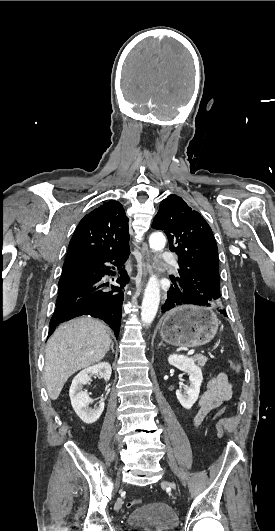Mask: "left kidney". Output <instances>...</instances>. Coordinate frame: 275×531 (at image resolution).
<instances>
[{
    "label": "left kidney",
    "mask_w": 275,
    "mask_h": 531,
    "mask_svg": "<svg viewBox=\"0 0 275 531\" xmlns=\"http://www.w3.org/2000/svg\"><path fill=\"white\" fill-rule=\"evenodd\" d=\"M168 363L172 367H177L179 371L188 373L190 387H184V393L176 391V397L184 409H191L199 397L200 387L203 381L202 371L200 367L195 365L193 359L184 357V355H170L168 357Z\"/></svg>",
    "instance_id": "left-kidney-1"
}]
</instances>
